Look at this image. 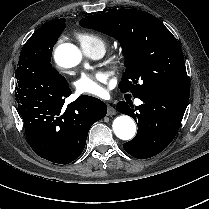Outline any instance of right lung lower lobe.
<instances>
[{"label": "right lung lower lobe", "mask_w": 209, "mask_h": 209, "mask_svg": "<svg viewBox=\"0 0 209 209\" xmlns=\"http://www.w3.org/2000/svg\"><path fill=\"white\" fill-rule=\"evenodd\" d=\"M71 93L68 83L36 75L17 79L15 97L28 144L53 163L68 164L78 158L90 127L107 113L104 102L86 95L63 106Z\"/></svg>", "instance_id": "1"}]
</instances>
